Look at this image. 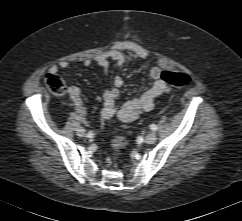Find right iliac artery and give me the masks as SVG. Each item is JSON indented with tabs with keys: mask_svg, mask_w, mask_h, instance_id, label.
Wrapping results in <instances>:
<instances>
[{
	"mask_svg": "<svg viewBox=\"0 0 242 221\" xmlns=\"http://www.w3.org/2000/svg\"><path fill=\"white\" fill-rule=\"evenodd\" d=\"M93 136V133L90 131L89 133H88V137H92Z\"/></svg>",
	"mask_w": 242,
	"mask_h": 221,
	"instance_id": "82829eb1",
	"label": "right iliac artery"
}]
</instances>
